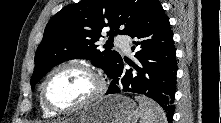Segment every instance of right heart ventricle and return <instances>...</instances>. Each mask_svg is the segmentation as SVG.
I'll return each mask as SVG.
<instances>
[{"label": "right heart ventricle", "instance_id": "right-heart-ventricle-1", "mask_svg": "<svg viewBox=\"0 0 221 123\" xmlns=\"http://www.w3.org/2000/svg\"><path fill=\"white\" fill-rule=\"evenodd\" d=\"M40 109H41V112L43 114L44 117L46 118H50V117H54L56 114L49 111L42 103L41 99H40Z\"/></svg>", "mask_w": 221, "mask_h": 123}]
</instances>
